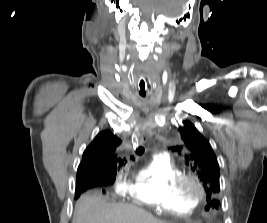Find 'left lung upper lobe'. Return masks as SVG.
I'll return each mask as SVG.
<instances>
[{
  "label": "left lung upper lobe",
  "instance_id": "left-lung-upper-lobe-1",
  "mask_svg": "<svg viewBox=\"0 0 267 223\" xmlns=\"http://www.w3.org/2000/svg\"><path fill=\"white\" fill-rule=\"evenodd\" d=\"M179 131L185 143V158L191 162L206 192L209 195L219 192V165L211 145L189 121H184ZM218 207V200L209 199L205 209Z\"/></svg>",
  "mask_w": 267,
  "mask_h": 223
}]
</instances>
